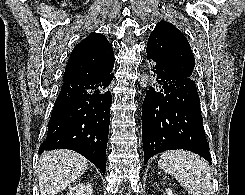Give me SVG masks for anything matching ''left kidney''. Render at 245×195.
I'll use <instances>...</instances> for the list:
<instances>
[{
  "label": "left kidney",
  "instance_id": "1",
  "mask_svg": "<svg viewBox=\"0 0 245 195\" xmlns=\"http://www.w3.org/2000/svg\"><path fill=\"white\" fill-rule=\"evenodd\" d=\"M166 194H167V195H173L172 190H171V189H169V188H168V189H166Z\"/></svg>",
  "mask_w": 245,
  "mask_h": 195
}]
</instances>
